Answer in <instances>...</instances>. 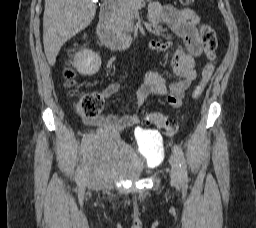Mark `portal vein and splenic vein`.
<instances>
[{"label":"portal vein and splenic vein","instance_id":"1","mask_svg":"<svg viewBox=\"0 0 256 228\" xmlns=\"http://www.w3.org/2000/svg\"><path fill=\"white\" fill-rule=\"evenodd\" d=\"M111 1H116V0H111ZM119 2H122L123 0H118ZM135 4H140L143 0H132Z\"/></svg>","mask_w":256,"mask_h":228}]
</instances>
